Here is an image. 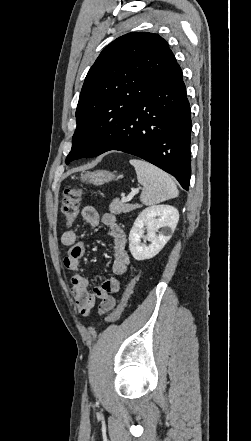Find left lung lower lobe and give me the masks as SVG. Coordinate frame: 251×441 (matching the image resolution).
Masks as SVG:
<instances>
[{
    "label": "left lung lower lobe",
    "instance_id": "1",
    "mask_svg": "<svg viewBox=\"0 0 251 441\" xmlns=\"http://www.w3.org/2000/svg\"><path fill=\"white\" fill-rule=\"evenodd\" d=\"M191 128L182 70L173 56L124 118L93 131L89 157L110 150L129 153L173 175L188 190Z\"/></svg>",
    "mask_w": 251,
    "mask_h": 441
}]
</instances>
